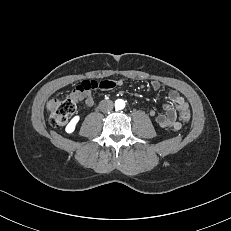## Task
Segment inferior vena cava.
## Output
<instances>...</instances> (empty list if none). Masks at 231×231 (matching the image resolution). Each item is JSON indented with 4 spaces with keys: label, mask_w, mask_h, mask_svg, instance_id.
<instances>
[{
    "label": "inferior vena cava",
    "mask_w": 231,
    "mask_h": 231,
    "mask_svg": "<svg viewBox=\"0 0 231 231\" xmlns=\"http://www.w3.org/2000/svg\"><path fill=\"white\" fill-rule=\"evenodd\" d=\"M99 109L104 113L109 112L113 109V102L111 100H102L99 103Z\"/></svg>",
    "instance_id": "inferior-vena-cava-1"
}]
</instances>
